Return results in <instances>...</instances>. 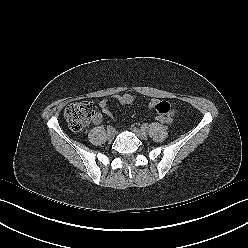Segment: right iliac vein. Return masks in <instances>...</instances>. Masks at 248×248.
I'll use <instances>...</instances> for the list:
<instances>
[{"instance_id": "1", "label": "right iliac vein", "mask_w": 248, "mask_h": 248, "mask_svg": "<svg viewBox=\"0 0 248 248\" xmlns=\"http://www.w3.org/2000/svg\"><path fill=\"white\" fill-rule=\"evenodd\" d=\"M114 136H115L114 131H108L107 132V139L108 140H112L114 138Z\"/></svg>"}]
</instances>
